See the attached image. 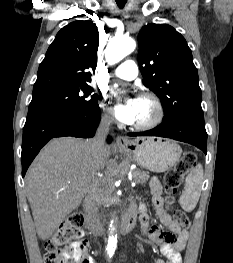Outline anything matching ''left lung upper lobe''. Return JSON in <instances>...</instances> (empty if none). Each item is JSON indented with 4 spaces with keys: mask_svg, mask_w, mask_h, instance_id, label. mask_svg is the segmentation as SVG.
<instances>
[{
    "mask_svg": "<svg viewBox=\"0 0 233 263\" xmlns=\"http://www.w3.org/2000/svg\"><path fill=\"white\" fill-rule=\"evenodd\" d=\"M138 42L143 83L162 101L163 122L204 120L198 72L184 37L170 25L148 24Z\"/></svg>",
    "mask_w": 233,
    "mask_h": 263,
    "instance_id": "5c2ea615",
    "label": "left lung upper lobe"
}]
</instances>
